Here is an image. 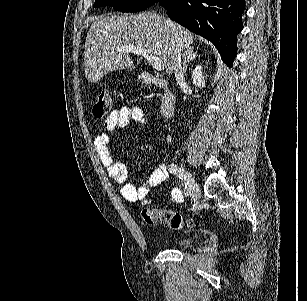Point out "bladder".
Here are the masks:
<instances>
[{
	"label": "bladder",
	"mask_w": 307,
	"mask_h": 301,
	"mask_svg": "<svg viewBox=\"0 0 307 301\" xmlns=\"http://www.w3.org/2000/svg\"><path fill=\"white\" fill-rule=\"evenodd\" d=\"M196 238L191 236H183L179 238L172 239L168 242L169 246L175 247H186L189 244H194Z\"/></svg>",
	"instance_id": "bladder-1"
}]
</instances>
